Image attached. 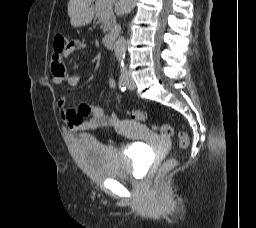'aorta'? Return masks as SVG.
Segmentation results:
<instances>
[{
    "mask_svg": "<svg viewBox=\"0 0 256 228\" xmlns=\"http://www.w3.org/2000/svg\"><path fill=\"white\" fill-rule=\"evenodd\" d=\"M136 4V0H120V11L129 14ZM114 52L118 62L123 63L126 54V38L121 36L114 45Z\"/></svg>",
    "mask_w": 256,
    "mask_h": 228,
    "instance_id": "762f6f07",
    "label": "aorta"
}]
</instances>
